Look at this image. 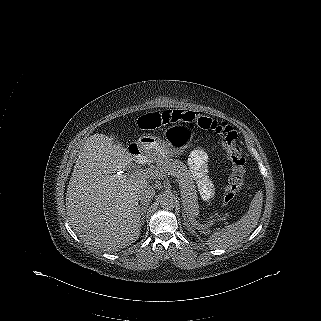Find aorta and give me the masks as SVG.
<instances>
[{
    "label": "aorta",
    "mask_w": 321,
    "mask_h": 321,
    "mask_svg": "<svg viewBox=\"0 0 321 321\" xmlns=\"http://www.w3.org/2000/svg\"><path fill=\"white\" fill-rule=\"evenodd\" d=\"M159 202H160V206L163 209L171 210V209L175 208L178 200H177L176 196L173 195L172 193H164L161 196Z\"/></svg>",
    "instance_id": "1"
}]
</instances>
